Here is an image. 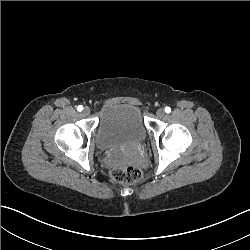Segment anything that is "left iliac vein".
<instances>
[{
	"mask_svg": "<svg viewBox=\"0 0 250 250\" xmlns=\"http://www.w3.org/2000/svg\"><path fill=\"white\" fill-rule=\"evenodd\" d=\"M156 114L159 118H163L165 116V111L163 109H159Z\"/></svg>",
	"mask_w": 250,
	"mask_h": 250,
	"instance_id": "obj_1",
	"label": "left iliac vein"
}]
</instances>
